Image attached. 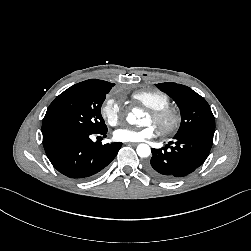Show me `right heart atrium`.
Wrapping results in <instances>:
<instances>
[{"instance_id":"obj_1","label":"right heart atrium","mask_w":251,"mask_h":251,"mask_svg":"<svg viewBox=\"0 0 251 251\" xmlns=\"http://www.w3.org/2000/svg\"><path fill=\"white\" fill-rule=\"evenodd\" d=\"M101 115L109 125H117L123 117L121 101L114 97L106 99L101 107Z\"/></svg>"}]
</instances>
